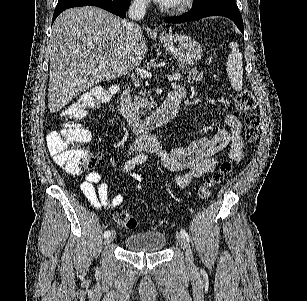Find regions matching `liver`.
Segmentation results:
<instances>
[{
	"label": "liver",
	"mask_w": 307,
	"mask_h": 301,
	"mask_svg": "<svg viewBox=\"0 0 307 301\" xmlns=\"http://www.w3.org/2000/svg\"><path fill=\"white\" fill-rule=\"evenodd\" d=\"M127 20L98 6H75L52 24L48 108L58 112L102 80L138 66L148 52L143 30L131 36ZM104 64V66H101Z\"/></svg>",
	"instance_id": "obj_1"
}]
</instances>
